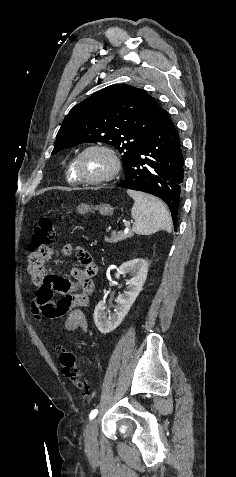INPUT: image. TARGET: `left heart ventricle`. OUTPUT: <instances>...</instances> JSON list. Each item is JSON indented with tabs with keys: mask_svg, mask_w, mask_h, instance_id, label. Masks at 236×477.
I'll list each match as a JSON object with an SVG mask.
<instances>
[{
	"mask_svg": "<svg viewBox=\"0 0 236 477\" xmlns=\"http://www.w3.org/2000/svg\"><path fill=\"white\" fill-rule=\"evenodd\" d=\"M110 160L101 152L90 151L80 162L81 174L87 178H98L110 170Z\"/></svg>",
	"mask_w": 236,
	"mask_h": 477,
	"instance_id": "1",
	"label": "left heart ventricle"
}]
</instances>
